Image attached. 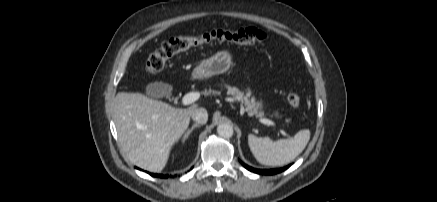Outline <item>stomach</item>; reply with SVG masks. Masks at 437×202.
<instances>
[{"instance_id":"obj_1","label":"stomach","mask_w":437,"mask_h":202,"mask_svg":"<svg viewBox=\"0 0 437 202\" xmlns=\"http://www.w3.org/2000/svg\"><path fill=\"white\" fill-rule=\"evenodd\" d=\"M231 64V53L228 50H221L196 66L193 70L192 76L196 79H202L222 74L230 68Z\"/></svg>"}]
</instances>
